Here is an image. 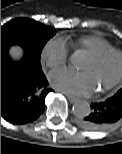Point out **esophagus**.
Wrapping results in <instances>:
<instances>
[{
    "label": "esophagus",
    "instance_id": "obj_1",
    "mask_svg": "<svg viewBox=\"0 0 122 154\" xmlns=\"http://www.w3.org/2000/svg\"><path fill=\"white\" fill-rule=\"evenodd\" d=\"M65 94V93H64ZM67 96V99L69 100L70 103H74L77 101V98L73 97V96H69V95H66Z\"/></svg>",
    "mask_w": 122,
    "mask_h": 154
}]
</instances>
